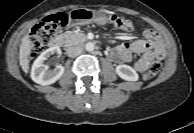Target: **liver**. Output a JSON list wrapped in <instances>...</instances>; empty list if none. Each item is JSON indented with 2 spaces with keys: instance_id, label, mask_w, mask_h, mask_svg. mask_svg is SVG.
<instances>
[{
  "instance_id": "6515ba94",
  "label": "liver",
  "mask_w": 194,
  "mask_h": 133,
  "mask_svg": "<svg viewBox=\"0 0 194 133\" xmlns=\"http://www.w3.org/2000/svg\"><path fill=\"white\" fill-rule=\"evenodd\" d=\"M32 48L33 44L30 39V35L26 34L22 39V43L19 49V63L25 73H28L29 71V56L31 54Z\"/></svg>"
}]
</instances>
